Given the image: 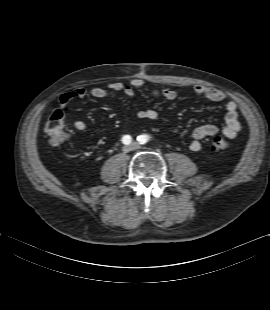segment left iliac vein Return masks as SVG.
Instances as JSON below:
<instances>
[{"label":"left iliac vein","instance_id":"1","mask_svg":"<svg viewBox=\"0 0 270 310\" xmlns=\"http://www.w3.org/2000/svg\"><path fill=\"white\" fill-rule=\"evenodd\" d=\"M130 146L132 147L133 150H136V149L140 148V144L137 143V142H133Z\"/></svg>","mask_w":270,"mask_h":310}]
</instances>
